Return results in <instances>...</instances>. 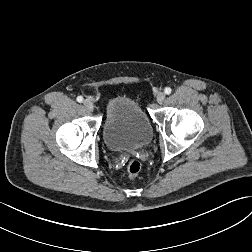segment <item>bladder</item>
<instances>
[{"label": "bladder", "mask_w": 252, "mask_h": 252, "mask_svg": "<svg viewBox=\"0 0 252 252\" xmlns=\"http://www.w3.org/2000/svg\"><path fill=\"white\" fill-rule=\"evenodd\" d=\"M150 120L132 98L119 96L107 103L103 139L113 152H129L146 146L152 139Z\"/></svg>", "instance_id": "1"}]
</instances>
